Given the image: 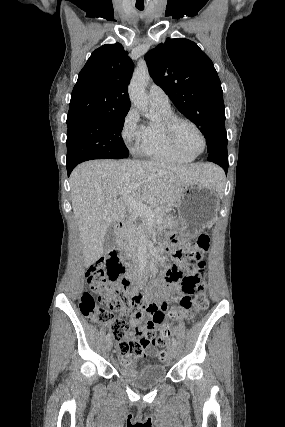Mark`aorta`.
Returning <instances> with one entry per match:
<instances>
[{"mask_svg":"<svg viewBox=\"0 0 285 427\" xmlns=\"http://www.w3.org/2000/svg\"><path fill=\"white\" fill-rule=\"evenodd\" d=\"M149 80L150 75L147 66L145 64H140L134 71L128 87V93L132 104L147 117L150 116L148 113L149 97L146 94V86ZM146 241V234L141 232L138 245V261L141 268L147 265Z\"/></svg>","mask_w":285,"mask_h":427,"instance_id":"1","label":"aorta"}]
</instances>
